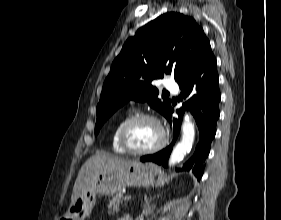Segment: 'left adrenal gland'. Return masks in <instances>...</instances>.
<instances>
[{
  "instance_id": "obj_1",
  "label": "left adrenal gland",
  "mask_w": 281,
  "mask_h": 220,
  "mask_svg": "<svg viewBox=\"0 0 281 220\" xmlns=\"http://www.w3.org/2000/svg\"><path fill=\"white\" fill-rule=\"evenodd\" d=\"M155 206L154 205H150V201L146 203V206L144 208V214L146 216L150 215L151 213H153Z\"/></svg>"
}]
</instances>
